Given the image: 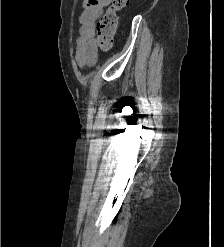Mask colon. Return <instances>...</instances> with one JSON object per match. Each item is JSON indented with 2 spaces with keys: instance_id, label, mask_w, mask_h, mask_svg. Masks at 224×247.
Segmentation results:
<instances>
[{
  "instance_id": "obj_1",
  "label": "colon",
  "mask_w": 224,
  "mask_h": 247,
  "mask_svg": "<svg viewBox=\"0 0 224 247\" xmlns=\"http://www.w3.org/2000/svg\"><path fill=\"white\" fill-rule=\"evenodd\" d=\"M127 3L128 0H112V4L98 21L96 27L97 44L101 50L107 51L112 47L118 25V13Z\"/></svg>"
}]
</instances>
